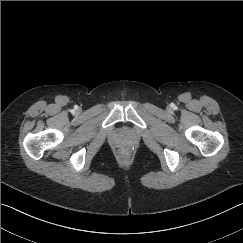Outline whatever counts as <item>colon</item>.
I'll return each instance as SVG.
<instances>
[{
	"label": "colon",
	"instance_id": "5ec220e1",
	"mask_svg": "<svg viewBox=\"0 0 243 243\" xmlns=\"http://www.w3.org/2000/svg\"><path fill=\"white\" fill-rule=\"evenodd\" d=\"M124 157L127 159V158H128V154H127V153H125V154H124Z\"/></svg>",
	"mask_w": 243,
	"mask_h": 243
}]
</instances>
